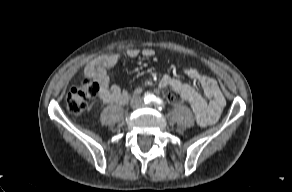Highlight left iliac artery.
Returning a JSON list of instances; mask_svg holds the SVG:
<instances>
[{
  "label": "left iliac artery",
  "instance_id": "obj_1",
  "mask_svg": "<svg viewBox=\"0 0 292 192\" xmlns=\"http://www.w3.org/2000/svg\"><path fill=\"white\" fill-rule=\"evenodd\" d=\"M153 103L157 106L159 110H162L165 108L164 102L161 98L154 96Z\"/></svg>",
  "mask_w": 292,
  "mask_h": 192
}]
</instances>
